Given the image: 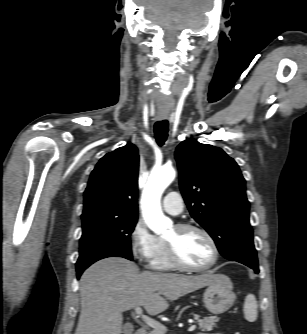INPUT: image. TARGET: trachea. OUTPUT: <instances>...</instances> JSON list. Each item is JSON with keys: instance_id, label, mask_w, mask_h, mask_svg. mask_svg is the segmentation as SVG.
Returning a JSON list of instances; mask_svg holds the SVG:
<instances>
[{"instance_id": "3493384b", "label": "trachea", "mask_w": 307, "mask_h": 334, "mask_svg": "<svg viewBox=\"0 0 307 334\" xmlns=\"http://www.w3.org/2000/svg\"><path fill=\"white\" fill-rule=\"evenodd\" d=\"M155 138L159 146H163L168 136V121H157L154 125Z\"/></svg>"}]
</instances>
